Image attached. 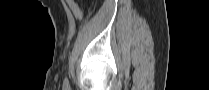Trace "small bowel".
I'll return each mask as SVG.
<instances>
[{"label": "small bowel", "mask_w": 209, "mask_h": 90, "mask_svg": "<svg viewBox=\"0 0 209 90\" xmlns=\"http://www.w3.org/2000/svg\"><path fill=\"white\" fill-rule=\"evenodd\" d=\"M67 4L75 17L81 20L83 18V13L78 4L73 0H67Z\"/></svg>", "instance_id": "obj_1"}]
</instances>
